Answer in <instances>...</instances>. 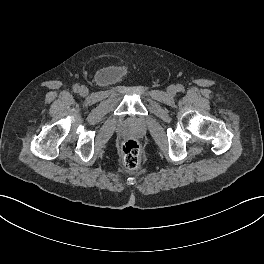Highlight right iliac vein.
Returning <instances> with one entry per match:
<instances>
[{
	"mask_svg": "<svg viewBox=\"0 0 264 264\" xmlns=\"http://www.w3.org/2000/svg\"><path fill=\"white\" fill-rule=\"evenodd\" d=\"M79 92L81 93V95H87L88 94V89H87V87L82 86V87H80Z\"/></svg>",
	"mask_w": 264,
	"mask_h": 264,
	"instance_id": "1",
	"label": "right iliac vein"
}]
</instances>
